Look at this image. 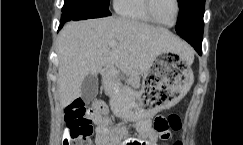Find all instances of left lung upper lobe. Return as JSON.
<instances>
[{"label":"left lung upper lobe","mask_w":243,"mask_h":145,"mask_svg":"<svg viewBox=\"0 0 243 145\" xmlns=\"http://www.w3.org/2000/svg\"><path fill=\"white\" fill-rule=\"evenodd\" d=\"M179 15L184 14L189 22L196 23L202 30L205 0H178Z\"/></svg>","instance_id":"1"}]
</instances>
